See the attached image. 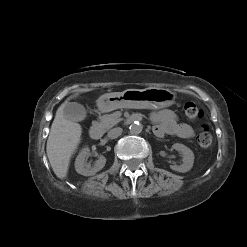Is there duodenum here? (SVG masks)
<instances>
[{"instance_id": "1", "label": "duodenum", "mask_w": 247, "mask_h": 247, "mask_svg": "<svg viewBox=\"0 0 247 247\" xmlns=\"http://www.w3.org/2000/svg\"><path fill=\"white\" fill-rule=\"evenodd\" d=\"M89 135L93 140H99L103 136V128L98 124H94L89 130Z\"/></svg>"}]
</instances>
